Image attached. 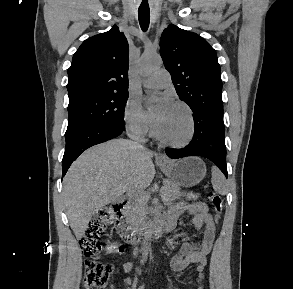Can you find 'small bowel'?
Instances as JSON below:
<instances>
[{
	"label": "small bowel",
	"instance_id": "1",
	"mask_svg": "<svg viewBox=\"0 0 293 289\" xmlns=\"http://www.w3.org/2000/svg\"><path fill=\"white\" fill-rule=\"evenodd\" d=\"M184 213L192 216V223L195 229L203 234V239L198 244L183 242L179 251L173 256L171 266L174 271L181 272L191 263H196L198 289H203V272L207 265V256L213 246L216 225L206 204L202 202L176 204L171 207L166 217L167 232L174 231L178 218ZM124 268L130 271L132 265L127 263Z\"/></svg>",
	"mask_w": 293,
	"mask_h": 289
}]
</instances>
